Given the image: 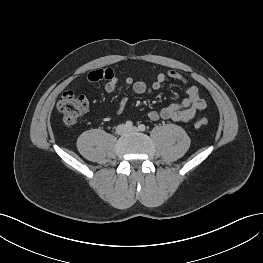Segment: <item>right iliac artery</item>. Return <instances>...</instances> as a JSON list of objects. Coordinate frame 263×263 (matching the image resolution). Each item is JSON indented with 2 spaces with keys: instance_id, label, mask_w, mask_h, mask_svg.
<instances>
[{
  "instance_id": "1",
  "label": "right iliac artery",
  "mask_w": 263,
  "mask_h": 263,
  "mask_svg": "<svg viewBox=\"0 0 263 263\" xmlns=\"http://www.w3.org/2000/svg\"><path fill=\"white\" fill-rule=\"evenodd\" d=\"M125 126L127 128H131L133 126V123L131 121H126Z\"/></svg>"
}]
</instances>
